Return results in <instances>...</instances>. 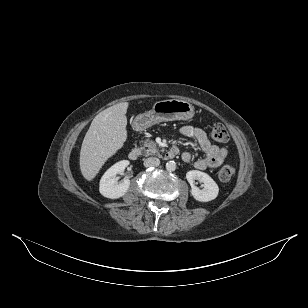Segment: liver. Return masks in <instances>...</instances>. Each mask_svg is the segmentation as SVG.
<instances>
[{
  "mask_svg": "<svg viewBox=\"0 0 308 308\" xmlns=\"http://www.w3.org/2000/svg\"><path fill=\"white\" fill-rule=\"evenodd\" d=\"M128 103L115 104L95 116L81 146L80 170L91 181L127 139Z\"/></svg>",
  "mask_w": 308,
  "mask_h": 308,
  "instance_id": "1",
  "label": "liver"
}]
</instances>
